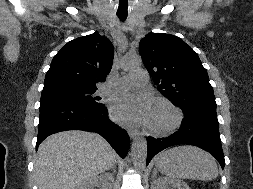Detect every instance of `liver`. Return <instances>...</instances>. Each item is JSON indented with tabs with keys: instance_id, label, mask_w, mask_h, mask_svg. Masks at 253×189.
<instances>
[{
	"instance_id": "liver-1",
	"label": "liver",
	"mask_w": 253,
	"mask_h": 189,
	"mask_svg": "<svg viewBox=\"0 0 253 189\" xmlns=\"http://www.w3.org/2000/svg\"><path fill=\"white\" fill-rule=\"evenodd\" d=\"M117 154L96 133L64 131L47 137L34 164L38 189H75L112 168Z\"/></svg>"
}]
</instances>
